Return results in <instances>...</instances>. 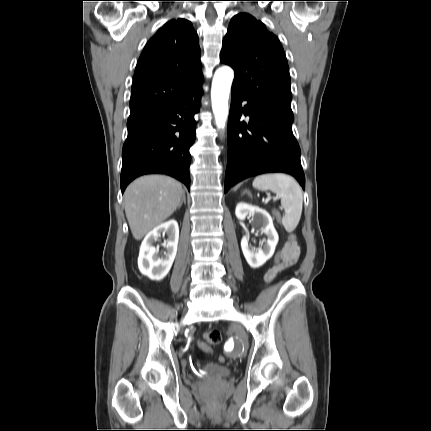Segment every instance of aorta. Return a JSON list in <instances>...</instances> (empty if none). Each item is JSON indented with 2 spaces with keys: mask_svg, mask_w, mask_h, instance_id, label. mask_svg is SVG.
<instances>
[{
  "mask_svg": "<svg viewBox=\"0 0 431 431\" xmlns=\"http://www.w3.org/2000/svg\"><path fill=\"white\" fill-rule=\"evenodd\" d=\"M234 78L233 70L228 66L216 70L211 88L212 110L215 116L216 126L225 127L228 117V99Z\"/></svg>",
  "mask_w": 431,
  "mask_h": 431,
  "instance_id": "obj_1",
  "label": "aorta"
}]
</instances>
